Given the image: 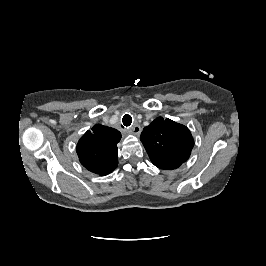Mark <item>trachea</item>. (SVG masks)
<instances>
[{
    "label": "trachea",
    "instance_id": "1",
    "mask_svg": "<svg viewBox=\"0 0 266 266\" xmlns=\"http://www.w3.org/2000/svg\"><path fill=\"white\" fill-rule=\"evenodd\" d=\"M123 125L129 127L132 124V117L129 114H125L122 118Z\"/></svg>",
    "mask_w": 266,
    "mask_h": 266
}]
</instances>
